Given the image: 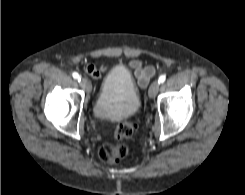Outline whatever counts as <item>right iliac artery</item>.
Segmentation results:
<instances>
[{
	"label": "right iliac artery",
	"instance_id": "right-iliac-artery-1",
	"mask_svg": "<svg viewBox=\"0 0 245 195\" xmlns=\"http://www.w3.org/2000/svg\"><path fill=\"white\" fill-rule=\"evenodd\" d=\"M72 76L74 79H77L80 82L81 77L79 76V74L77 72H73Z\"/></svg>",
	"mask_w": 245,
	"mask_h": 195
}]
</instances>
